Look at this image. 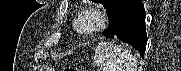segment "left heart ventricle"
<instances>
[{
  "label": "left heart ventricle",
  "mask_w": 181,
  "mask_h": 71,
  "mask_svg": "<svg viewBox=\"0 0 181 71\" xmlns=\"http://www.w3.org/2000/svg\"><path fill=\"white\" fill-rule=\"evenodd\" d=\"M92 25V20L91 19H86L84 22V27L89 28Z\"/></svg>",
  "instance_id": "left-heart-ventricle-1"
}]
</instances>
